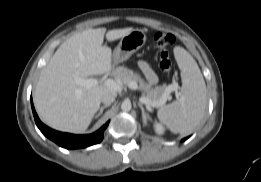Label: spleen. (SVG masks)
Segmentation results:
<instances>
[{
    "mask_svg": "<svg viewBox=\"0 0 261 182\" xmlns=\"http://www.w3.org/2000/svg\"><path fill=\"white\" fill-rule=\"evenodd\" d=\"M174 55L181 71V97L162 106L157 115L173 133L187 135L194 131L204 116L206 84L198 64L184 48L175 47Z\"/></svg>",
    "mask_w": 261,
    "mask_h": 182,
    "instance_id": "3e777b00",
    "label": "spleen"
}]
</instances>
